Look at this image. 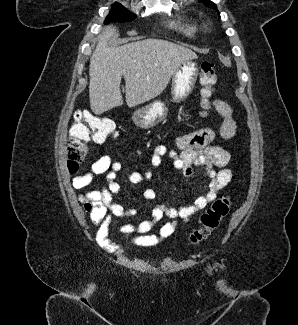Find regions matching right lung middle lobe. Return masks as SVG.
I'll list each match as a JSON object with an SVG mask.
<instances>
[{"label": "right lung middle lobe", "instance_id": "1", "mask_svg": "<svg viewBox=\"0 0 298 325\" xmlns=\"http://www.w3.org/2000/svg\"><path fill=\"white\" fill-rule=\"evenodd\" d=\"M136 16L129 12L124 6L120 3H115L112 5V11L105 19V24L110 22H127L135 19Z\"/></svg>", "mask_w": 298, "mask_h": 325}]
</instances>
